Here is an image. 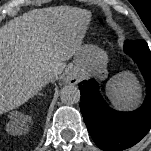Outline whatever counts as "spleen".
<instances>
[{"label":"spleen","mask_w":151,"mask_h":151,"mask_svg":"<svg viewBox=\"0 0 151 151\" xmlns=\"http://www.w3.org/2000/svg\"><path fill=\"white\" fill-rule=\"evenodd\" d=\"M139 84L130 72H123L115 76L106 85V95L112 104L128 110L133 108L139 100Z\"/></svg>","instance_id":"3e777b00"}]
</instances>
